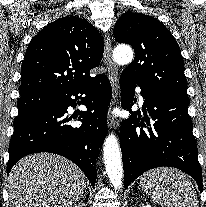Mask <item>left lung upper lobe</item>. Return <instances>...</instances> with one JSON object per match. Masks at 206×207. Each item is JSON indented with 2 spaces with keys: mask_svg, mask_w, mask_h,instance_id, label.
Wrapping results in <instances>:
<instances>
[{
  "mask_svg": "<svg viewBox=\"0 0 206 207\" xmlns=\"http://www.w3.org/2000/svg\"><path fill=\"white\" fill-rule=\"evenodd\" d=\"M113 35L135 51L134 61L121 75L141 87L188 98L180 48L159 20L126 12L117 20Z\"/></svg>",
  "mask_w": 206,
  "mask_h": 207,
  "instance_id": "left-lung-upper-lobe-1",
  "label": "left lung upper lobe"
}]
</instances>
